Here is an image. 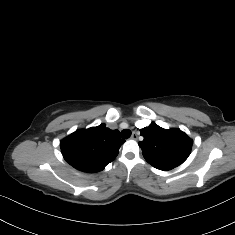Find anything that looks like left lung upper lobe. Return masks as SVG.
I'll use <instances>...</instances> for the list:
<instances>
[{"label":"left lung upper lobe","mask_w":235,"mask_h":235,"mask_svg":"<svg viewBox=\"0 0 235 235\" xmlns=\"http://www.w3.org/2000/svg\"><path fill=\"white\" fill-rule=\"evenodd\" d=\"M140 133L144 137L139 142L143 156L157 169H173L191 152L193 141L180 129H163L153 122Z\"/></svg>","instance_id":"1"}]
</instances>
